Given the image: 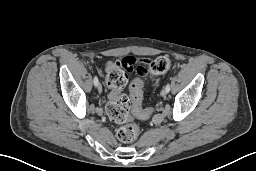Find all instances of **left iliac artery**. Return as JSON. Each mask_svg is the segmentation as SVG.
Returning a JSON list of instances; mask_svg holds the SVG:
<instances>
[{"label": "left iliac artery", "instance_id": "obj_1", "mask_svg": "<svg viewBox=\"0 0 256 171\" xmlns=\"http://www.w3.org/2000/svg\"><path fill=\"white\" fill-rule=\"evenodd\" d=\"M165 89L167 90V92H169V91H170V84H169V83H167V85H166Z\"/></svg>", "mask_w": 256, "mask_h": 171}]
</instances>
